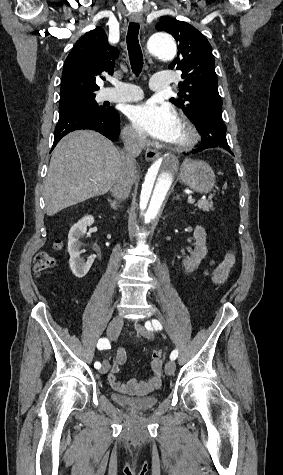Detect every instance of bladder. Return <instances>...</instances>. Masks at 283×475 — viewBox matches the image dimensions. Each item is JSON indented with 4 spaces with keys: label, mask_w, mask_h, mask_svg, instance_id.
I'll return each mask as SVG.
<instances>
[{
    "label": "bladder",
    "mask_w": 283,
    "mask_h": 475,
    "mask_svg": "<svg viewBox=\"0 0 283 475\" xmlns=\"http://www.w3.org/2000/svg\"><path fill=\"white\" fill-rule=\"evenodd\" d=\"M160 395H148L142 397H126L119 393H114L112 400L123 407L134 411L146 412L150 408L156 406L159 402Z\"/></svg>",
    "instance_id": "31cf9c89"
}]
</instances>
